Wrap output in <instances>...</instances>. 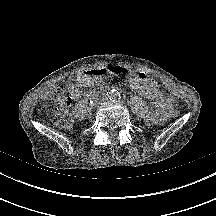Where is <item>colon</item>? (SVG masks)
I'll use <instances>...</instances> for the list:
<instances>
[{"mask_svg":"<svg viewBox=\"0 0 216 216\" xmlns=\"http://www.w3.org/2000/svg\"><path fill=\"white\" fill-rule=\"evenodd\" d=\"M73 94L68 86L66 89L57 88L52 93V102L54 112L52 116L53 123L60 128H69L73 124V118L69 113V107L73 100ZM179 110L171 108L168 116L172 118L178 117Z\"/></svg>","mask_w":216,"mask_h":216,"instance_id":"1","label":"colon"}]
</instances>
